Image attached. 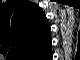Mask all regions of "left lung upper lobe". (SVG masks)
I'll use <instances>...</instances> for the list:
<instances>
[{
	"instance_id": "5c2ea615",
	"label": "left lung upper lobe",
	"mask_w": 80,
	"mask_h": 60,
	"mask_svg": "<svg viewBox=\"0 0 80 60\" xmlns=\"http://www.w3.org/2000/svg\"><path fill=\"white\" fill-rule=\"evenodd\" d=\"M44 16L38 5L28 1L17 0L2 5V46L12 53L35 57L47 33L43 22Z\"/></svg>"
}]
</instances>
